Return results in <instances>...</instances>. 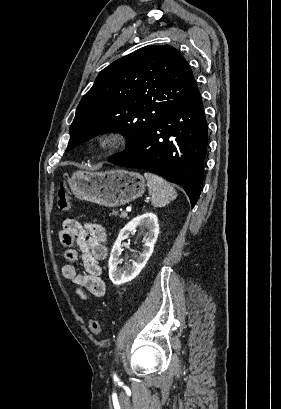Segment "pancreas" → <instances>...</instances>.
Instances as JSON below:
<instances>
[{
	"instance_id": "obj_1",
	"label": "pancreas",
	"mask_w": 281,
	"mask_h": 409,
	"mask_svg": "<svg viewBox=\"0 0 281 409\" xmlns=\"http://www.w3.org/2000/svg\"><path fill=\"white\" fill-rule=\"evenodd\" d=\"M118 211H112V213H110V217L111 215H117ZM122 216V214L120 215V217Z\"/></svg>"
}]
</instances>
